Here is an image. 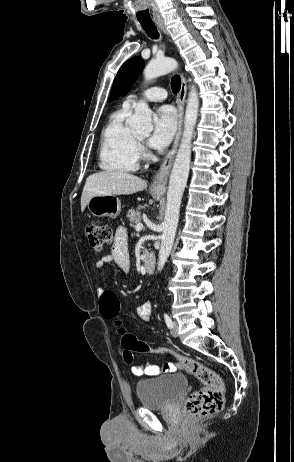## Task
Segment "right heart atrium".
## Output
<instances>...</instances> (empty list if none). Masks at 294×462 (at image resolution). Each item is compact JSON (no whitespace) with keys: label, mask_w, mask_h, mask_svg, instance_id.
I'll return each mask as SVG.
<instances>
[{"label":"right heart atrium","mask_w":294,"mask_h":462,"mask_svg":"<svg viewBox=\"0 0 294 462\" xmlns=\"http://www.w3.org/2000/svg\"><path fill=\"white\" fill-rule=\"evenodd\" d=\"M139 151H140V153H145L146 149H145L144 145L139 144Z\"/></svg>","instance_id":"d8ad5b80"}]
</instances>
